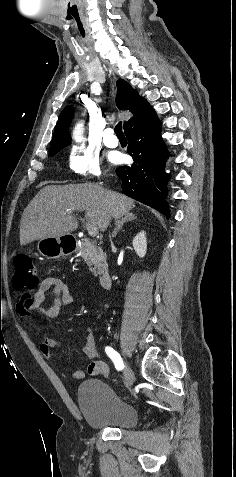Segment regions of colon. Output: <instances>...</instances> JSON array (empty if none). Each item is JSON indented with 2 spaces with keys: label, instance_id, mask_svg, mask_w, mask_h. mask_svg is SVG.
<instances>
[{
  "label": "colon",
  "instance_id": "colon-1",
  "mask_svg": "<svg viewBox=\"0 0 236 477\" xmlns=\"http://www.w3.org/2000/svg\"><path fill=\"white\" fill-rule=\"evenodd\" d=\"M38 271L34 259L29 254H20L14 261L13 288L18 293L19 304H30L32 297L29 293L38 284Z\"/></svg>",
  "mask_w": 236,
  "mask_h": 477
}]
</instances>
